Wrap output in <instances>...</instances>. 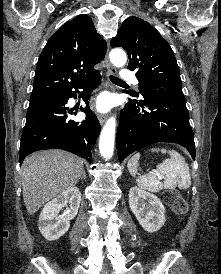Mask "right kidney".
Here are the masks:
<instances>
[{
  "label": "right kidney",
  "instance_id": "1",
  "mask_svg": "<svg viewBox=\"0 0 221 274\" xmlns=\"http://www.w3.org/2000/svg\"><path fill=\"white\" fill-rule=\"evenodd\" d=\"M81 202V192L77 187L62 192L48 202L39 217L38 227L43 237L49 241L59 239L64 235L72 220L78 213ZM69 203V208L63 215L58 212Z\"/></svg>",
  "mask_w": 221,
  "mask_h": 274
}]
</instances>
